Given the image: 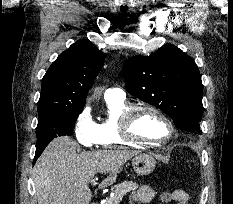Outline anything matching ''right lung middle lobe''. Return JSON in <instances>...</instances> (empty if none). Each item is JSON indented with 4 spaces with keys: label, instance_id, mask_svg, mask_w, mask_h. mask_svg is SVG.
I'll return each instance as SVG.
<instances>
[{
    "label": "right lung middle lobe",
    "instance_id": "dd1d6c3e",
    "mask_svg": "<svg viewBox=\"0 0 233 204\" xmlns=\"http://www.w3.org/2000/svg\"><path fill=\"white\" fill-rule=\"evenodd\" d=\"M81 111L82 109L40 116L37 125V145H46L58 136H70Z\"/></svg>",
    "mask_w": 233,
    "mask_h": 204
}]
</instances>
